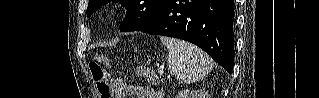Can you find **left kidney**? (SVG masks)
<instances>
[{"instance_id":"obj_1","label":"left kidney","mask_w":319,"mask_h":98,"mask_svg":"<svg viewBox=\"0 0 319 98\" xmlns=\"http://www.w3.org/2000/svg\"><path fill=\"white\" fill-rule=\"evenodd\" d=\"M209 94L206 90H184L180 92L177 98H209Z\"/></svg>"}]
</instances>
